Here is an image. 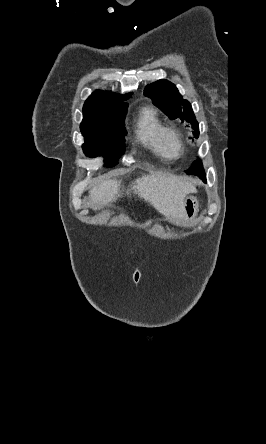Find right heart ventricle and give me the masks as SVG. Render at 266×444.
<instances>
[{
	"label": "right heart ventricle",
	"instance_id": "obj_1",
	"mask_svg": "<svg viewBox=\"0 0 266 444\" xmlns=\"http://www.w3.org/2000/svg\"><path fill=\"white\" fill-rule=\"evenodd\" d=\"M164 127L156 110L150 106L143 107L137 117L135 134L137 140L148 150L161 157H166L161 144L160 132Z\"/></svg>",
	"mask_w": 266,
	"mask_h": 444
}]
</instances>
